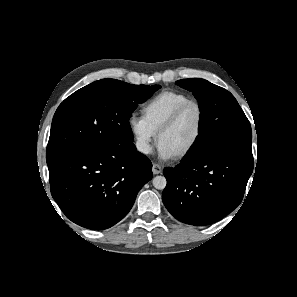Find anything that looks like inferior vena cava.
Listing matches in <instances>:
<instances>
[{
    "label": "inferior vena cava",
    "instance_id": "obj_1",
    "mask_svg": "<svg viewBox=\"0 0 297 297\" xmlns=\"http://www.w3.org/2000/svg\"><path fill=\"white\" fill-rule=\"evenodd\" d=\"M136 147H137V150L142 153L149 154L151 152V146L146 141H143V140L137 141Z\"/></svg>",
    "mask_w": 297,
    "mask_h": 297
}]
</instances>
